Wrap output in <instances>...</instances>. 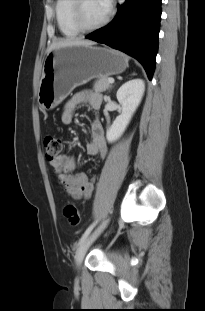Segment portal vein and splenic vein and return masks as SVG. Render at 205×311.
Masks as SVG:
<instances>
[{"instance_id":"portal-vein-and-splenic-vein-1","label":"portal vein and splenic vein","mask_w":205,"mask_h":311,"mask_svg":"<svg viewBox=\"0 0 205 311\" xmlns=\"http://www.w3.org/2000/svg\"><path fill=\"white\" fill-rule=\"evenodd\" d=\"M108 82L112 84V83H114V79L113 78H109Z\"/></svg>"}]
</instances>
